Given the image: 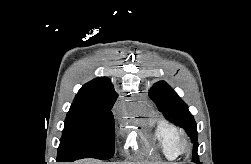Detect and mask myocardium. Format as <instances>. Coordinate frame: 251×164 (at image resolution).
Masks as SVG:
<instances>
[{"instance_id": "myocardium-1", "label": "myocardium", "mask_w": 251, "mask_h": 164, "mask_svg": "<svg viewBox=\"0 0 251 164\" xmlns=\"http://www.w3.org/2000/svg\"><path fill=\"white\" fill-rule=\"evenodd\" d=\"M189 141L187 137L183 134H177L174 142H173V149L176 155H181L184 154L188 151L189 149Z\"/></svg>"}]
</instances>
